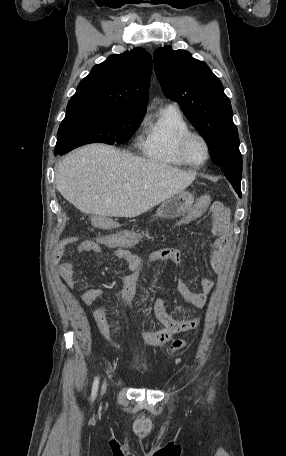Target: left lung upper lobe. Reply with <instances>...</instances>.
<instances>
[{
	"label": "left lung upper lobe",
	"mask_w": 286,
	"mask_h": 456,
	"mask_svg": "<svg viewBox=\"0 0 286 456\" xmlns=\"http://www.w3.org/2000/svg\"><path fill=\"white\" fill-rule=\"evenodd\" d=\"M158 81L165 96L181 110L206 141L213 163L226 178L241 180L242 156L229 98L205 62L170 46L154 52Z\"/></svg>",
	"instance_id": "obj_1"
}]
</instances>
